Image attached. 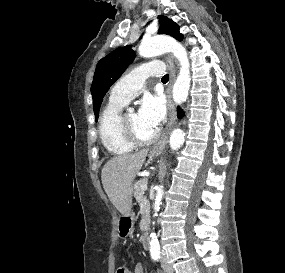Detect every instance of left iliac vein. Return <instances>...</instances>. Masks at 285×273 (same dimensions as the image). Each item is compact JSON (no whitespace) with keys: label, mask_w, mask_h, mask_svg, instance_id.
Here are the masks:
<instances>
[{"label":"left iliac vein","mask_w":285,"mask_h":273,"mask_svg":"<svg viewBox=\"0 0 285 273\" xmlns=\"http://www.w3.org/2000/svg\"><path fill=\"white\" fill-rule=\"evenodd\" d=\"M162 268L166 273H173V268L167 263V259L165 256L162 257Z\"/></svg>","instance_id":"4c4485c4"}]
</instances>
